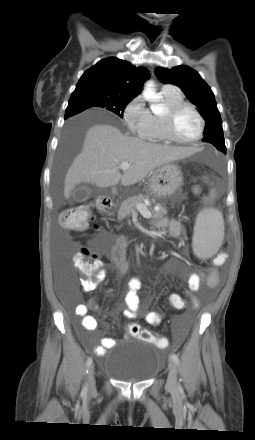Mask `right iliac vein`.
<instances>
[{"label":"right iliac vein","instance_id":"right-iliac-vein-1","mask_svg":"<svg viewBox=\"0 0 255 440\" xmlns=\"http://www.w3.org/2000/svg\"><path fill=\"white\" fill-rule=\"evenodd\" d=\"M87 380H88L89 391L92 392L95 389V384H96L95 369L93 365L89 367Z\"/></svg>","mask_w":255,"mask_h":440}]
</instances>
